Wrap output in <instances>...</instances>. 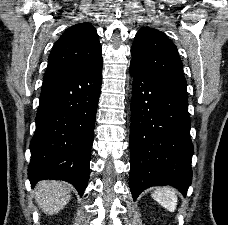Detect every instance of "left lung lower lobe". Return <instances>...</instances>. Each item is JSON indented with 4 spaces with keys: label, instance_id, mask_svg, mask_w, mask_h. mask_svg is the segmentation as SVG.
<instances>
[{
    "label": "left lung lower lobe",
    "instance_id": "left-lung-lower-lobe-1",
    "mask_svg": "<svg viewBox=\"0 0 228 225\" xmlns=\"http://www.w3.org/2000/svg\"><path fill=\"white\" fill-rule=\"evenodd\" d=\"M130 179L133 199L151 186L171 185L184 195L192 181L186 83L147 74L130 63Z\"/></svg>",
    "mask_w": 228,
    "mask_h": 225
}]
</instances>
